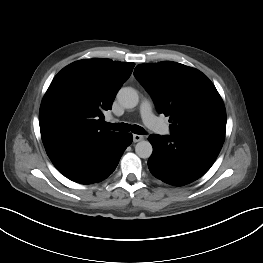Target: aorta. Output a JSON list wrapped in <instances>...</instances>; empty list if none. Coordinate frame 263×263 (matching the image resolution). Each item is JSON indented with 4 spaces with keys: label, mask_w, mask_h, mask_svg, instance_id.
<instances>
[{
    "label": "aorta",
    "mask_w": 263,
    "mask_h": 263,
    "mask_svg": "<svg viewBox=\"0 0 263 263\" xmlns=\"http://www.w3.org/2000/svg\"><path fill=\"white\" fill-rule=\"evenodd\" d=\"M118 102L124 108H134L139 102L138 93L131 87H123L117 93ZM136 154L143 159H147L153 152L152 145L148 141H140L135 146Z\"/></svg>",
    "instance_id": "1"
}]
</instances>
